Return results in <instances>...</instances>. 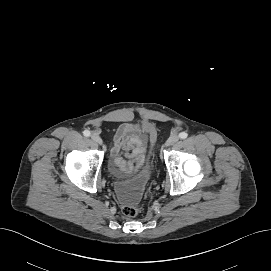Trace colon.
Returning a JSON list of instances; mask_svg holds the SVG:
<instances>
[{"label": "colon", "mask_w": 271, "mask_h": 271, "mask_svg": "<svg viewBox=\"0 0 271 271\" xmlns=\"http://www.w3.org/2000/svg\"><path fill=\"white\" fill-rule=\"evenodd\" d=\"M140 207L136 205H124L121 208L122 214L127 218H132L140 213Z\"/></svg>", "instance_id": "colon-1"}]
</instances>
